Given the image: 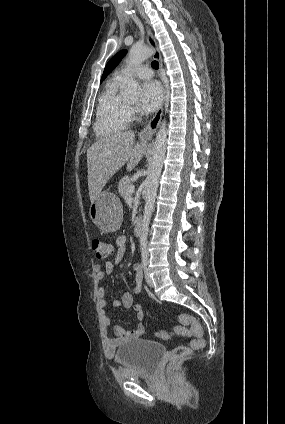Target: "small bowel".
I'll return each instance as SVG.
<instances>
[{
  "mask_svg": "<svg viewBox=\"0 0 285 424\" xmlns=\"http://www.w3.org/2000/svg\"><path fill=\"white\" fill-rule=\"evenodd\" d=\"M126 244L127 239L125 236H119L115 240L116 245V254L113 260L107 261L103 266L96 265L95 266V273L97 275V279L100 283L98 287V300L99 305L103 309V323L105 326H109L111 324V318L107 314V312L104 310V308L108 304L106 291L104 286L101 284L102 280L104 279L105 275H109L114 272L116 267H118L124 257L125 251H126ZM134 269L136 270L137 274L135 277V283L133 285L132 291L134 294H138L141 290V283H142V275H141V267L139 264L134 265ZM133 293L131 292H124L120 299H113L112 305L114 307H124L125 309L133 308L137 319L140 321L137 326L132 331L125 330L122 326H114L113 333L114 336L112 338H106L103 342V350L107 354L113 353V351L120 345H122L124 342L138 339L144 334V325L142 324V320L144 319V306L143 304H134L133 299ZM189 335V334H188ZM187 335V336H188Z\"/></svg>",
  "mask_w": 285,
  "mask_h": 424,
  "instance_id": "1",
  "label": "small bowel"
}]
</instances>
